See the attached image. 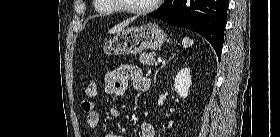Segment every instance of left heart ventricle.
<instances>
[{
  "label": "left heart ventricle",
  "mask_w": 280,
  "mask_h": 137,
  "mask_svg": "<svg viewBox=\"0 0 280 137\" xmlns=\"http://www.w3.org/2000/svg\"><path fill=\"white\" fill-rule=\"evenodd\" d=\"M153 0H124V4L126 7L131 8H140L149 6Z\"/></svg>",
  "instance_id": "obj_1"
}]
</instances>
